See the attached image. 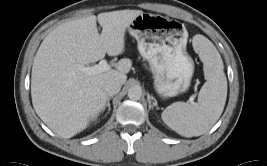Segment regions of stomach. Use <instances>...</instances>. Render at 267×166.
<instances>
[{
    "label": "stomach",
    "instance_id": "stomach-1",
    "mask_svg": "<svg viewBox=\"0 0 267 166\" xmlns=\"http://www.w3.org/2000/svg\"><path fill=\"white\" fill-rule=\"evenodd\" d=\"M141 56L149 62L156 92L170 98L186 92L194 62L186 52L188 32L183 24L167 17L143 13L128 27Z\"/></svg>",
    "mask_w": 267,
    "mask_h": 166
}]
</instances>
